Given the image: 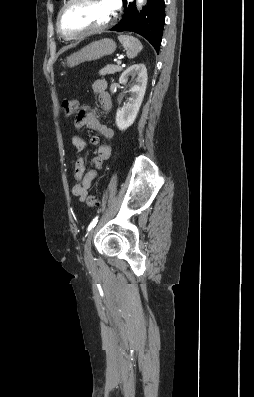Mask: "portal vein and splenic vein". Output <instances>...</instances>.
Masks as SVG:
<instances>
[{"label":"portal vein and splenic vein","mask_w":254,"mask_h":397,"mask_svg":"<svg viewBox=\"0 0 254 397\" xmlns=\"http://www.w3.org/2000/svg\"><path fill=\"white\" fill-rule=\"evenodd\" d=\"M117 65H121V61L118 60V61H117Z\"/></svg>","instance_id":"1"}]
</instances>
